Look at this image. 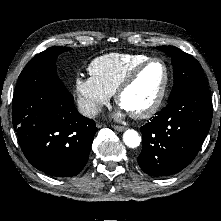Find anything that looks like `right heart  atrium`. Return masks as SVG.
Instances as JSON below:
<instances>
[{
    "label": "right heart atrium",
    "instance_id": "right-heart-atrium-1",
    "mask_svg": "<svg viewBox=\"0 0 221 221\" xmlns=\"http://www.w3.org/2000/svg\"><path fill=\"white\" fill-rule=\"evenodd\" d=\"M74 87L80 111L87 117L96 116L108 103L111 96L91 77L78 76L75 79Z\"/></svg>",
    "mask_w": 221,
    "mask_h": 221
}]
</instances>
